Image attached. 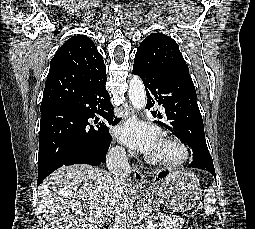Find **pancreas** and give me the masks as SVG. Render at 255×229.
Instances as JSON below:
<instances>
[{"mask_svg":"<svg viewBox=\"0 0 255 229\" xmlns=\"http://www.w3.org/2000/svg\"><path fill=\"white\" fill-rule=\"evenodd\" d=\"M184 219L181 217L166 218L162 221L163 229H182Z\"/></svg>","mask_w":255,"mask_h":229,"instance_id":"obj_1","label":"pancreas"}]
</instances>
